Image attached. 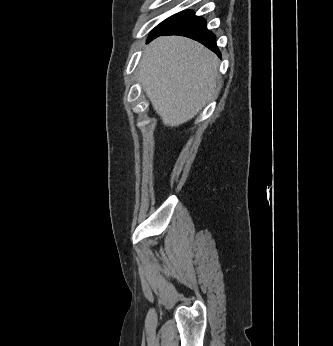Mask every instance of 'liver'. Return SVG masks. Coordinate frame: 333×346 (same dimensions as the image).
<instances>
[{
    "label": "liver",
    "instance_id": "6515ba94",
    "mask_svg": "<svg viewBox=\"0 0 333 346\" xmlns=\"http://www.w3.org/2000/svg\"><path fill=\"white\" fill-rule=\"evenodd\" d=\"M214 53L191 39L159 37L145 49L140 81L166 126L191 120L212 98L218 78Z\"/></svg>",
    "mask_w": 333,
    "mask_h": 346
}]
</instances>
